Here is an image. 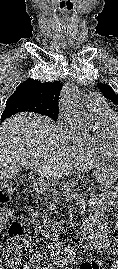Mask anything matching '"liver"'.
<instances>
[{
  "label": "liver",
  "mask_w": 118,
  "mask_h": 269,
  "mask_svg": "<svg viewBox=\"0 0 118 269\" xmlns=\"http://www.w3.org/2000/svg\"><path fill=\"white\" fill-rule=\"evenodd\" d=\"M58 129L46 116L22 112L0 125V181L16 177L23 166L42 176L61 178L73 168L87 171L100 163L59 149Z\"/></svg>",
  "instance_id": "liver-1"
}]
</instances>
